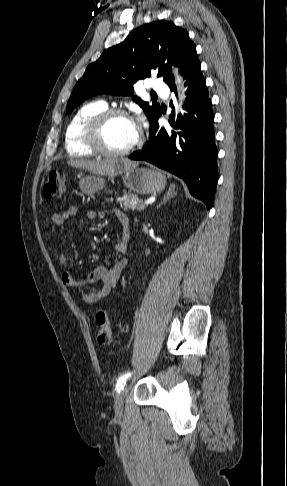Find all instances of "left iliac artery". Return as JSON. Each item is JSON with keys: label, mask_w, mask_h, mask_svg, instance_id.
Segmentation results:
<instances>
[{"label": "left iliac artery", "mask_w": 287, "mask_h": 486, "mask_svg": "<svg viewBox=\"0 0 287 486\" xmlns=\"http://www.w3.org/2000/svg\"><path fill=\"white\" fill-rule=\"evenodd\" d=\"M131 376V372H127L123 375H121L117 382H116V391L118 393H120V391H122L124 389V386L126 384V381L128 380V378Z\"/></svg>", "instance_id": "obj_1"}]
</instances>
